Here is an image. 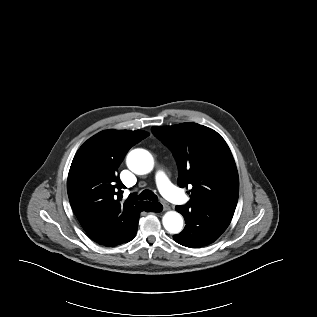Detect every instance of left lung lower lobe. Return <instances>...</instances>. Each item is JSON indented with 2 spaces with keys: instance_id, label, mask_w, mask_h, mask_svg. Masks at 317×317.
<instances>
[{
  "instance_id": "obj_1",
  "label": "left lung lower lobe",
  "mask_w": 317,
  "mask_h": 317,
  "mask_svg": "<svg viewBox=\"0 0 317 317\" xmlns=\"http://www.w3.org/2000/svg\"><path fill=\"white\" fill-rule=\"evenodd\" d=\"M184 216V230L173 239L186 247L199 248L217 240L231 222L234 212L210 206L193 208L176 206Z\"/></svg>"
}]
</instances>
